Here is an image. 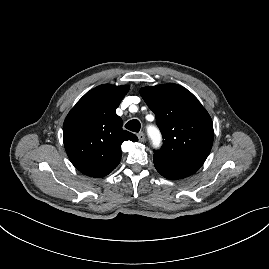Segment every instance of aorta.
Here are the masks:
<instances>
[{
	"mask_svg": "<svg viewBox=\"0 0 269 269\" xmlns=\"http://www.w3.org/2000/svg\"><path fill=\"white\" fill-rule=\"evenodd\" d=\"M148 133H149V136L153 142V145L155 147L159 146L160 141H161V136H160L159 131L155 128H150Z\"/></svg>",
	"mask_w": 269,
	"mask_h": 269,
	"instance_id": "obj_1",
	"label": "aorta"
}]
</instances>
